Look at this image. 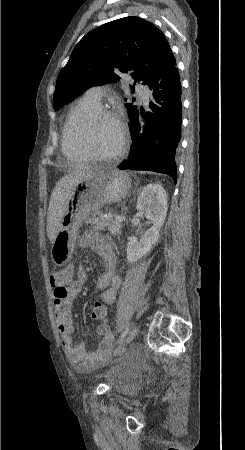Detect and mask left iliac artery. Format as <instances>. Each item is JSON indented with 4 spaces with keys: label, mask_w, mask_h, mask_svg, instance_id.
<instances>
[{
    "label": "left iliac artery",
    "mask_w": 245,
    "mask_h": 450,
    "mask_svg": "<svg viewBox=\"0 0 245 450\" xmlns=\"http://www.w3.org/2000/svg\"><path fill=\"white\" fill-rule=\"evenodd\" d=\"M128 332H129V328L127 327L126 329H125V331L120 335V337L118 338V340H117V343H120L121 341H123V339L125 338V336L128 334Z\"/></svg>",
    "instance_id": "left-iliac-artery-1"
}]
</instances>
